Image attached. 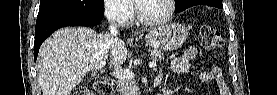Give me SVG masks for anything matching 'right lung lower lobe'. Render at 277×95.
<instances>
[{
	"mask_svg": "<svg viewBox=\"0 0 277 95\" xmlns=\"http://www.w3.org/2000/svg\"><path fill=\"white\" fill-rule=\"evenodd\" d=\"M103 19V14L59 15L36 20L34 58L37 59L42 42L55 30L66 26H94Z\"/></svg>",
	"mask_w": 277,
	"mask_h": 95,
	"instance_id": "98d812e1",
	"label": "right lung lower lobe"
}]
</instances>
